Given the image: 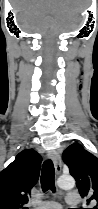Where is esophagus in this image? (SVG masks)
I'll return each mask as SVG.
<instances>
[{"label": "esophagus", "mask_w": 98, "mask_h": 209, "mask_svg": "<svg viewBox=\"0 0 98 209\" xmlns=\"http://www.w3.org/2000/svg\"><path fill=\"white\" fill-rule=\"evenodd\" d=\"M51 157L54 163L56 174L59 175L62 171V163H61L60 154L58 152H53L51 154Z\"/></svg>", "instance_id": "esophagus-1"}]
</instances>
